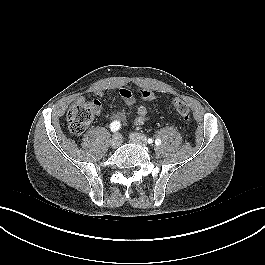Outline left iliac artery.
<instances>
[{"instance_id":"left-iliac-artery-1","label":"left iliac artery","mask_w":265,"mask_h":265,"mask_svg":"<svg viewBox=\"0 0 265 265\" xmlns=\"http://www.w3.org/2000/svg\"><path fill=\"white\" fill-rule=\"evenodd\" d=\"M151 141H152V140L149 139V140H148V143H151ZM161 143H162L161 139H156V140H155V144H156L157 146L160 145Z\"/></svg>"}]
</instances>
